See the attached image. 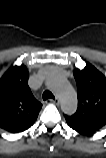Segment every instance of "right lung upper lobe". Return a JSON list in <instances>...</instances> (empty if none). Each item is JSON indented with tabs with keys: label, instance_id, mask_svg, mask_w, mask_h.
Segmentation results:
<instances>
[{
	"label": "right lung upper lobe",
	"instance_id": "obj_1",
	"mask_svg": "<svg viewBox=\"0 0 106 158\" xmlns=\"http://www.w3.org/2000/svg\"><path fill=\"white\" fill-rule=\"evenodd\" d=\"M25 65L11 67L0 79V128L19 133L30 128L37 119L42 104L29 86Z\"/></svg>",
	"mask_w": 106,
	"mask_h": 158
}]
</instances>
